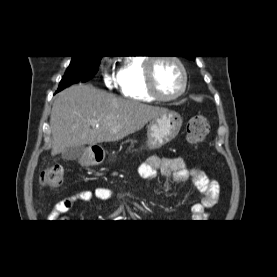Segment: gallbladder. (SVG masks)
<instances>
[{
	"mask_svg": "<svg viewBox=\"0 0 277 277\" xmlns=\"http://www.w3.org/2000/svg\"><path fill=\"white\" fill-rule=\"evenodd\" d=\"M84 151L85 147L83 145L70 146L65 148L62 152V158L65 160H76L83 154Z\"/></svg>",
	"mask_w": 277,
	"mask_h": 277,
	"instance_id": "bac80fb5",
	"label": "gallbladder"
}]
</instances>
